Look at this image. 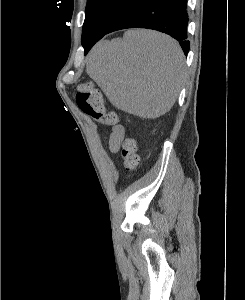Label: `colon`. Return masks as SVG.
Instances as JSON below:
<instances>
[{
  "label": "colon",
  "instance_id": "1",
  "mask_svg": "<svg viewBox=\"0 0 245 300\" xmlns=\"http://www.w3.org/2000/svg\"><path fill=\"white\" fill-rule=\"evenodd\" d=\"M76 103L85 114L104 121L108 125L118 124V116L113 111H107L104 105L103 96L100 90L91 82L83 83L79 86L76 94ZM122 157L125 169L133 172L139 164L137 153V141L128 136L122 144Z\"/></svg>",
  "mask_w": 245,
  "mask_h": 300
}]
</instances>
